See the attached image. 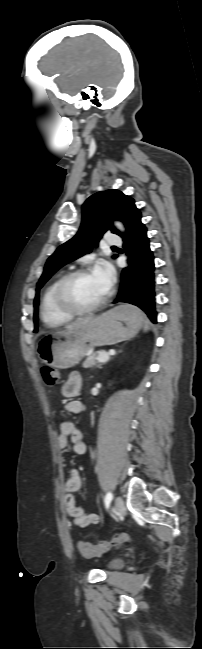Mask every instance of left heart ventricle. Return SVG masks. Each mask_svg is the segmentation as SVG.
I'll return each instance as SVG.
<instances>
[{
    "mask_svg": "<svg viewBox=\"0 0 202 649\" xmlns=\"http://www.w3.org/2000/svg\"><path fill=\"white\" fill-rule=\"evenodd\" d=\"M106 292L92 276V272L76 278L69 288L70 299L81 308L95 304Z\"/></svg>",
    "mask_w": 202,
    "mask_h": 649,
    "instance_id": "b2bd125f",
    "label": "left heart ventricle"
}]
</instances>
